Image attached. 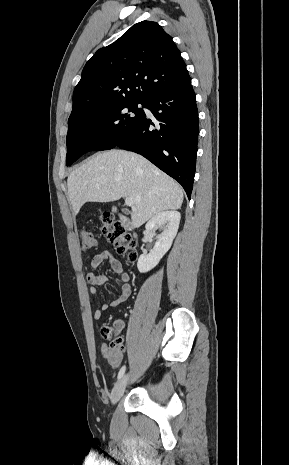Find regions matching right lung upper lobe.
Listing matches in <instances>:
<instances>
[{
	"mask_svg": "<svg viewBox=\"0 0 289 465\" xmlns=\"http://www.w3.org/2000/svg\"><path fill=\"white\" fill-rule=\"evenodd\" d=\"M190 81L172 37L156 22H139L86 63L73 93L69 128L78 122L82 108L88 104L147 100Z\"/></svg>",
	"mask_w": 289,
	"mask_h": 465,
	"instance_id": "obj_1",
	"label": "right lung upper lobe"
}]
</instances>
